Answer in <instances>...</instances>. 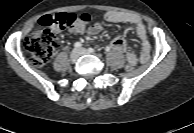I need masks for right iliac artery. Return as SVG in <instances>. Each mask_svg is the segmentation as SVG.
<instances>
[{"instance_id": "82829eb1", "label": "right iliac artery", "mask_w": 194, "mask_h": 133, "mask_svg": "<svg viewBox=\"0 0 194 133\" xmlns=\"http://www.w3.org/2000/svg\"><path fill=\"white\" fill-rule=\"evenodd\" d=\"M82 46V44L80 43V42H76L75 44H74V47L75 48H80Z\"/></svg>"}]
</instances>
